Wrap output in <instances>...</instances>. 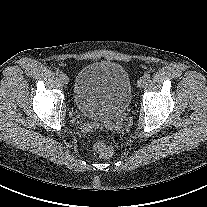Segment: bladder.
I'll return each mask as SVG.
<instances>
[{
  "mask_svg": "<svg viewBox=\"0 0 207 207\" xmlns=\"http://www.w3.org/2000/svg\"><path fill=\"white\" fill-rule=\"evenodd\" d=\"M132 97L126 69L110 61L91 62L77 73L73 101L76 108L93 119H111L123 114Z\"/></svg>",
  "mask_w": 207,
  "mask_h": 207,
  "instance_id": "obj_1",
  "label": "bladder"
}]
</instances>
